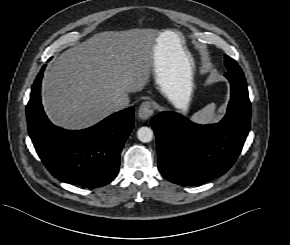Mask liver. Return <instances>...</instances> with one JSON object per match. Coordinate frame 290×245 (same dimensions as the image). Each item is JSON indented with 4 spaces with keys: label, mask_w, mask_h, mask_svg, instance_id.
<instances>
[{
    "label": "liver",
    "mask_w": 290,
    "mask_h": 245,
    "mask_svg": "<svg viewBox=\"0 0 290 245\" xmlns=\"http://www.w3.org/2000/svg\"><path fill=\"white\" fill-rule=\"evenodd\" d=\"M179 33L152 38L139 30L105 31L64 51L42 82L50 120L67 129L86 128L116 112L114 102L141 91L158 57L173 102L180 85L192 83L193 59Z\"/></svg>",
    "instance_id": "obj_1"
}]
</instances>
